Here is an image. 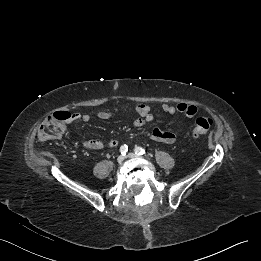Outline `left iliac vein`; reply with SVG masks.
Listing matches in <instances>:
<instances>
[{
  "label": "left iliac vein",
  "instance_id": "4c4485c4",
  "mask_svg": "<svg viewBox=\"0 0 261 261\" xmlns=\"http://www.w3.org/2000/svg\"><path fill=\"white\" fill-rule=\"evenodd\" d=\"M128 157H129V158H132V159H135V158H142V157L138 156V155L135 154V153H129V154H128Z\"/></svg>",
  "mask_w": 261,
  "mask_h": 261
}]
</instances>
